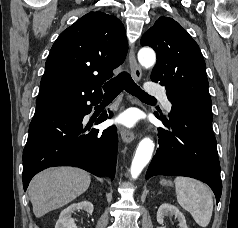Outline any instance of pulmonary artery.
<instances>
[{"label": "pulmonary artery", "instance_id": "obj_1", "mask_svg": "<svg viewBox=\"0 0 238 228\" xmlns=\"http://www.w3.org/2000/svg\"><path fill=\"white\" fill-rule=\"evenodd\" d=\"M146 93L148 95H159L161 96L164 106L167 110L171 109V103L168 101L167 97L164 95V90L161 86L157 85L154 82H148L146 84Z\"/></svg>", "mask_w": 238, "mask_h": 228}]
</instances>
